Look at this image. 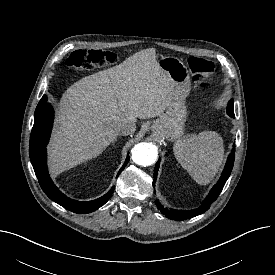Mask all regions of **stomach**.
Returning <instances> with one entry per match:
<instances>
[{
    "mask_svg": "<svg viewBox=\"0 0 275 275\" xmlns=\"http://www.w3.org/2000/svg\"><path fill=\"white\" fill-rule=\"evenodd\" d=\"M158 63L170 78L173 99L165 113L152 125V131L156 135L174 140L182 135L187 117L185 99L191 87L189 71L177 57L165 56Z\"/></svg>",
    "mask_w": 275,
    "mask_h": 275,
    "instance_id": "obj_1",
    "label": "stomach"
}]
</instances>
